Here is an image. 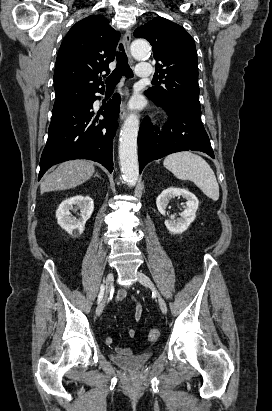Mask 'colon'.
I'll return each instance as SVG.
<instances>
[{"instance_id":"5ec220e1","label":"colon","mask_w":272,"mask_h":411,"mask_svg":"<svg viewBox=\"0 0 272 411\" xmlns=\"http://www.w3.org/2000/svg\"><path fill=\"white\" fill-rule=\"evenodd\" d=\"M160 333L157 329H152L148 332L147 339L151 342L157 341Z\"/></svg>"}]
</instances>
